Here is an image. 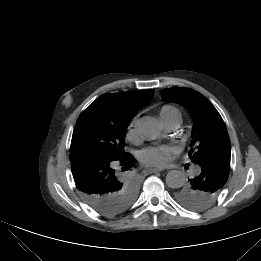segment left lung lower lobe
Returning <instances> with one entry per match:
<instances>
[{
    "label": "left lung lower lobe",
    "mask_w": 261,
    "mask_h": 261,
    "mask_svg": "<svg viewBox=\"0 0 261 261\" xmlns=\"http://www.w3.org/2000/svg\"><path fill=\"white\" fill-rule=\"evenodd\" d=\"M199 166L200 174L189 180L192 188L200 190L209 196L215 195L220 189H223L229 176V161L221 160L216 162L208 160L202 162Z\"/></svg>",
    "instance_id": "obj_1"
}]
</instances>
